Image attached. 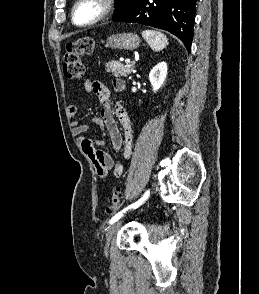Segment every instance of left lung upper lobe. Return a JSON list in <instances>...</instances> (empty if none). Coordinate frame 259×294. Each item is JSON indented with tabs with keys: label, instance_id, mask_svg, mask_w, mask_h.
<instances>
[{
	"label": "left lung upper lobe",
	"instance_id": "1",
	"mask_svg": "<svg viewBox=\"0 0 259 294\" xmlns=\"http://www.w3.org/2000/svg\"><path fill=\"white\" fill-rule=\"evenodd\" d=\"M136 0H116V12L113 17L129 10L135 4Z\"/></svg>",
	"mask_w": 259,
	"mask_h": 294
}]
</instances>
